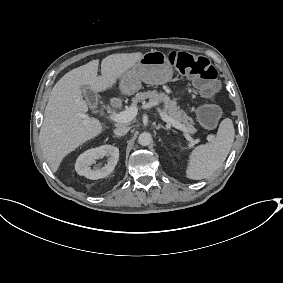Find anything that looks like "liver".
<instances>
[{
	"label": "liver",
	"instance_id": "6515ba94",
	"mask_svg": "<svg viewBox=\"0 0 283 283\" xmlns=\"http://www.w3.org/2000/svg\"><path fill=\"white\" fill-rule=\"evenodd\" d=\"M141 57L140 52L109 55L101 62V76L97 75L99 60H92L69 71L54 85L39 134L42 153L52 171H57L67 154L102 132L99 120L85 116L88 106L82 86L104 91Z\"/></svg>",
	"mask_w": 283,
	"mask_h": 283
}]
</instances>
